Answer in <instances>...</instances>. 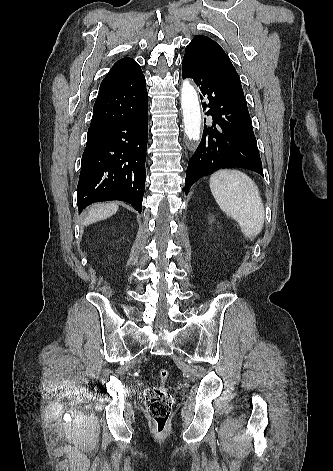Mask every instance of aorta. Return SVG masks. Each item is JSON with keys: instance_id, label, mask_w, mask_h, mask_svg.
I'll return each mask as SVG.
<instances>
[{"instance_id": "1", "label": "aorta", "mask_w": 333, "mask_h": 471, "mask_svg": "<svg viewBox=\"0 0 333 471\" xmlns=\"http://www.w3.org/2000/svg\"><path fill=\"white\" fill-rule=\"evenodd\" d=\"M181 107L183 110L184 131L190 140H199L201 113L197 93L185 80L181 87Z\"/></svg>"}]
</instances>
